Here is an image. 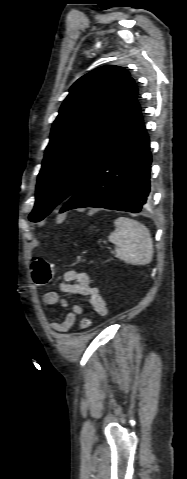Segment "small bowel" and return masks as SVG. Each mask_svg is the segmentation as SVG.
<instances>
[{
    "label": "small bowel",
    "instance_id": "c3829d8e",
    "mask_svg": "<svg viewBox=\"0 0 187 479\" xmlns=\"http://www.w3.org/2000/svg\"><path fill=\"white\" fill-rule=\"evenodd\" d=\"M61 292L71 295L84 297L94 310L101 316L108 312L107 305L101 296L99 289L91 284L87 273L77 270H68L64 273V281L60 283ZM42 301L45 305L59 304L63 307L68 306V301L62 295L55 291H48L43 294ZM83 313V309L78 304L71 306L70 313L61 322H50L49 326L56 332L66 333L73 329L77 316Z\"/></svg>",
    "mask_w": 187,
    "mask_h": 479
}]
</instances>
